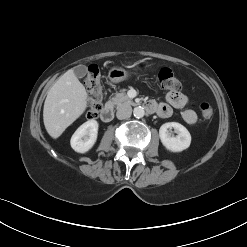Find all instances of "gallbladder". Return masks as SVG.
<instances>
[{"instance_id":"gallbladder-1","label":"gallbladder","mask_w":247,"mask_h":247,"mask_svg":"<svg viewBox=\"0 0 247 247\" xmlns=\"http://www.w3.org/2000/svg\"><path fill=\"white\" fill-rule=\"evenodd\" d=\"M74 74L76 75V77L78 78H82L86 75L87 73V67L84 65H78L74 68Z\"/></svg>"}]
</instances>
